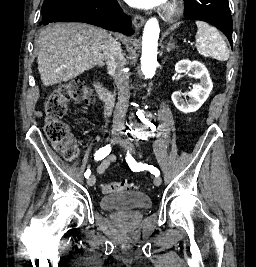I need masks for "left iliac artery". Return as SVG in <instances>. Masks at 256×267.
Listing matches in <instances>:
<instances>
[{
	"label": "left iliac artery",
	"instance_id": "obj_1",
	"mask_svg": "<svg viewBox=\"0 0 256 267\" xmlns=\"http://www.w3.org/2000/svg\"><path fill=\"white\" fill-rule=\"evenodd\" d=\"M126 161L131 170H149L155 176L160 175V171L156 167L148 164L137 163L135 159L129 154V151L127 153Z\"/></svg>",
	"mask_w": 256,
	"mask_h": 267
}]
</instances>
